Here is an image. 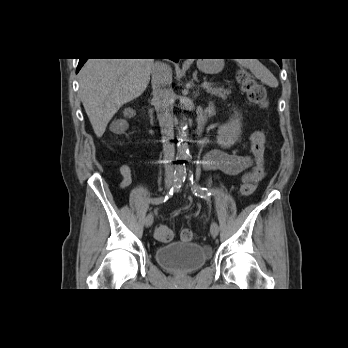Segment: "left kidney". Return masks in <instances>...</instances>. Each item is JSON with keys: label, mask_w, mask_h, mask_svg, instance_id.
Segmentation results:
<instances>
[{"label": "left kidney", "mask_w": 348, "mask_h": 348, "mask_svg": "<svg viewBox=\"0 0 348 348\" xmlns=\"http://www.w3.org/2000/svg\"><path fill=\"white\" fill-rule=\"evenodd\" d=\"M241 117L239 114L232 116L228 123L218 127L217 143L222 148H230L241 135Z\"/></svg>", "instance_id": "obj_1"}]
</instances>
